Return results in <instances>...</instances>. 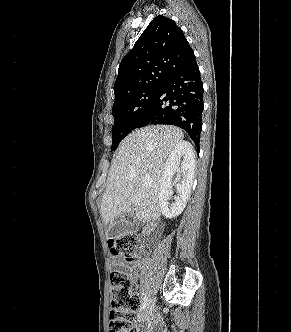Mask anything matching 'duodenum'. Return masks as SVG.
Returning a JSON list of instances; mask_svg holds the SVG:
<instances>
[{"label": "duodenum", "mask_w": 291, "mask_h": 332, "mask_svg": "<svg viewBox=\"0 0 291 332\" xmlns=\"http://www.w3.org/2000/svg\"><path fill=\"white\" fill-rule=\"evenodd\" d=\"M150 229H151V226H148V227L146 228L147 231H149Z\"/></svg>", "instance_id": "1"}]
</instances>
